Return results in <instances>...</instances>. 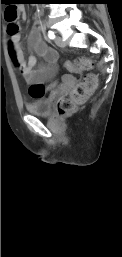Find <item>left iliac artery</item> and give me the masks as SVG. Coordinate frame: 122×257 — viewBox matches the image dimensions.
I'll use <instances>...</instances> for the list:
<instances>
[{"instance_id": "44dca946", "label": "left iliac artery", "mask_w": 122, "mask_h": 257, "mask_svg": "<svg viewBox=\"0 0 122 257\" xmlns=\"http://www.w3.org/2000/svg\"><path fill=\"white\" fill-rule=\"evenodd\" d=\"M48 37H49L50 39H54V38H55L54 32H53V31H49V32H48Z\"/></svg>"}]
</instances>
